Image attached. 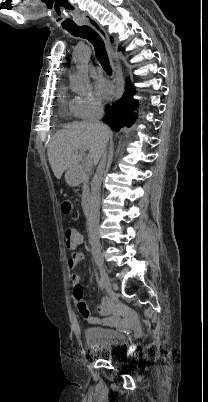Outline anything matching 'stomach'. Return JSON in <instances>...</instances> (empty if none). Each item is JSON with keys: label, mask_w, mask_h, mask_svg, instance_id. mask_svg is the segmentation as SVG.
<instances>
[{"label": "stomach", "mask_w": 208, "mask_h": 402, "mask_svg": "<svg viewBox=\"0 0 208 402\" xmlns=\"http://www.w3.org/2000/svg\"><path fill=\"white\" fill-rule=\"evenodd\" d=\"M65 180L66 184H68V186H71V188L79 186L81 182V178L79 174H77L75 168H70V170H67V172H65Z\"/></svg>", "instance_id": "0dacf381"}]
</instances>
